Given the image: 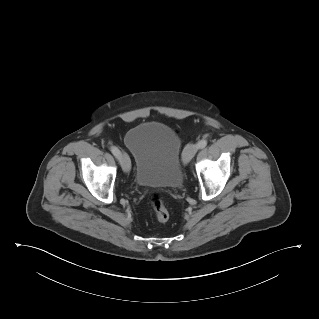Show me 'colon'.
I'll list each match as a JSON object with an SVG mask.
<instances>
[{
    "label": "colon",
    "mask_w": 319,
    "mask_h": 319,
    "mask_svg": "<svg viewBox=\"0 0 319 319\" xmlns=\"http://www.w3.org/2000/svg\"><path fill=\"white\" fill-rule=\"evenodd\" d=\"M151 206L155 212L156 219L159 222H166L169 219V212L164 205L163 198L159 194L151 196Z\"/></svg>",
    "instance_id": "obj_1"
}]
</instances>
